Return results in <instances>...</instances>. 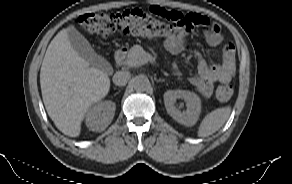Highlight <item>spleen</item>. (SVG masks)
<instances>
[{
    "label": "spleen",
    "mask_w": 292,
    "mask_h": 184,
    "mask_svg": "<svg viewBox=\"0 0 292 184\" xmlns=\"http://www.w3.org/2000/svg\"><path fill=\"white\" fill-rule=\"evenodd\" d=\"M231 107L217 108L207 114L198 128L199 137H207L218 131L229 118Z\"/></svg>",
    "instance_id": "1"
}]
</instances>
